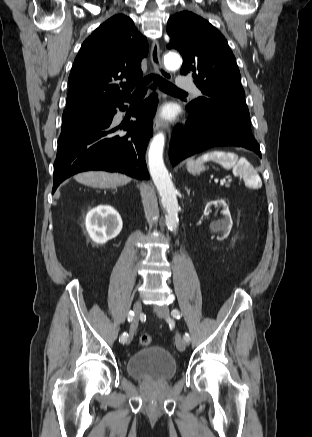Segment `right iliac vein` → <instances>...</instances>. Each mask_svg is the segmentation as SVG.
I'll return each instance as SVG.
<instances>
[{
  "instance_id": "1",
  "label": "right iliac vein",
  "mask_w": 312,
  "mask_h": 437,
  "mask_svg": "<svg viewBox=\"0 0 312 437\" xmlns=\"http://www.w3.org/2000/svg\"><path fill=\"white\" fill-rule=\"evenodd\" d=\"M142 310V305L141 302L139 300L135 301L133 304V311L135 313V317L133 319L131 328H130V337H129V341L132 339L133 334L138 326V322H139V315L141 313Z\"/></svg>"
}]
</instances>
